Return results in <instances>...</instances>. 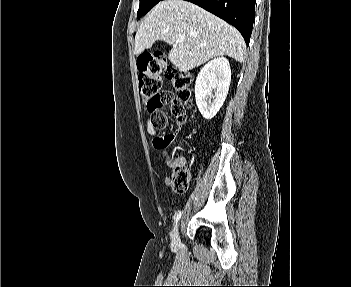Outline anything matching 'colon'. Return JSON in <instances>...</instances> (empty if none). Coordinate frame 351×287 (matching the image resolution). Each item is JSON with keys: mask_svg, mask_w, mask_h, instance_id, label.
Returning <instances> with one entry per match:
<instances>
[{"mask_svg": "<svg viewBox=\"0 0 351 287\" xmlns=\"http://www.w3.org/2000/svg\"><path fill=\"white\" fill-rule=\"evenodd\" d=\"M138 90L147 107L152 113L151 123L156 130L167 126L166 104H171L172 112L184 121L186 110L191 106L193 75L167 61L161 53L144 54L138 60ZM166 75L172 82L176 95L172 92H160L162 76ZM174 189L185 192L191 182V171L178 161H171Z\"/></svg>", "mask_w": 351, "mask_h": 287, "instance_id": "colon-1", "label": "colon"}]
</instances>
